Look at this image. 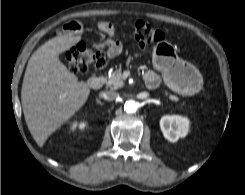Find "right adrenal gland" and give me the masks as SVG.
Listing matches in <instances>:
<instances>
[{
	"label": "right adrenal gland",
	"mask_w": 245,
	"mask_h": 195,
	"mask_svg": "<svg viewBox=\"0 0 245 195\" xmlns=\"http://www.w3.org/2000/svg\"><path fill=\"white\" fill-rule=\"evenodd\" d=\"M97 103L101 104L98 100H97Z\"/></svg>",
	"instance_id": "1"
}]
</instances>
